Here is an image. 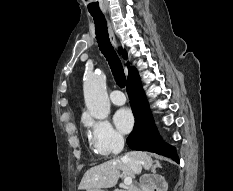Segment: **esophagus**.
I'll return each instance as SVG.
<instances>
[{"instance_id":"obj_1","label":"esophagus","mask_w":233,"mask_h":191,"mask_svg":"<svg viewBox=\"0 0 233 191\" xmlns=\"http://www.w3.org/2000/svg\"><path fill=\"white\" fill-rule=\"evenodd\" d=\"M109 34H110L111 43L113 44L114 47H117V42H116V39H115V36L113 34V31H112V28H111L110 24H109Z\"/></svg>"}]
</instances>
